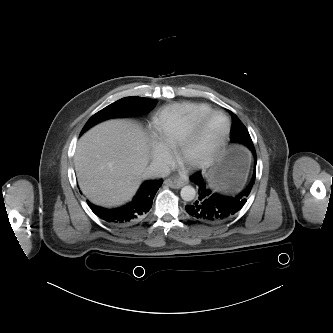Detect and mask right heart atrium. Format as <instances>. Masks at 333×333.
Returning a JSON list of instances; mask_svg holds the SVG:
<instances>
[{"label": "right heart atrium", "instance_id": "1", "mask_svg": "<svg viewBox=\"0 0 333 333\" xmlns=\"http://www.w3.org/2000/svg\"><path fill=\"white\" fill-rule=\"evenodd\" d=\"M150 155L154 165L160 170H163L171 161L169 149L156 138H153L150 142Z\"/></svg>", "mask_w": 333, "mask_h": 333}]
</instances>
